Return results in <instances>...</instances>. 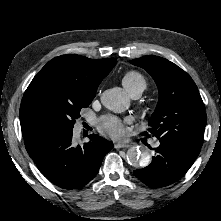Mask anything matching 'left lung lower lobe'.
I'll return each instance as SVG.
<instances>
[{
    "instance_id": "left-lung-lower-lobe-1",
    "label": "left lung lower lobe",
    "mask_w": 221,
    "mask_h": 221,
    "mask_svg": "<svg viewBox=\"0 0 221 221\" xmlns=\"http://www.w3.org/2000/svg\"><path fill=\"white\" fill-rule=\"evenodd\" d=\"M154 150L155 156L150 165L133 172L139 180L151 188L175 183L185 175L197 158L176 146L164 143Z\"/></svg>"
}]
</instances>
